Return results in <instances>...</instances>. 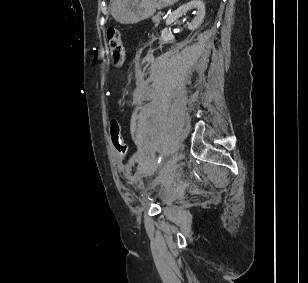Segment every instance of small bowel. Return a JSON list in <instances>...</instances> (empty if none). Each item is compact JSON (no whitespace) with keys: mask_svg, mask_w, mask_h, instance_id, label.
<instances>
[{"mask_svg":"<svg viewBox=\"0 0 308 283\" xmlns=\"http://www.w3.org/2000/svg\"><path fill=\"white\" fill-rule=\"evenodd\" d=\"M132 100L134 104H140L145 100V95L141 91L136 90L133 93ZM118 169L124 174L129 173V168L124 163L119 164Z\"/></svg>","mask_w":308,"mask_h":283,"instance_id":"small-bowel-1","label":"small bowel"}]
</instances>
